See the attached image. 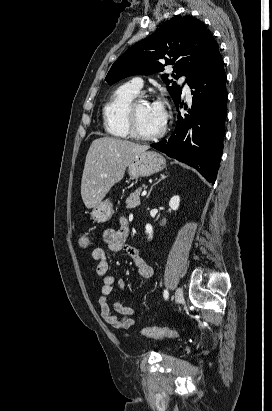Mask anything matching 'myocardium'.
Here are the masks:
<instances>
[{
    "label": "myocardium",
    "mask_w": 272,
    "mask_h": 411,
    "mask_svg": "<svg viewBox=\"0 0 272 411\" xmlns=\"http://www.w3.org/2000/svg\"><path fill=\"white\" fill-rule=\"evenodd\" d=\"M141 102H147L146 97L143 95L136 96L128 105L127 110H126V122H127V127L128 131L131 137L137 139V140H143V141H154L157 139H160L164 136L166 133V122H163L162 127L160 128L159 131L153 134H144L139 131L136 123V108L139 103Z\"/></svg>",
    "instance_id": "obj_1"
}]
</instances>
